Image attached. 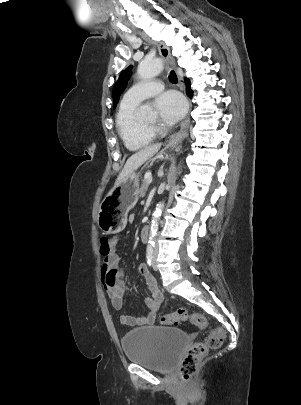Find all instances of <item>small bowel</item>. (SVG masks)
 <instances>
[{"label": "small bowel", "mask_w": 301, "mask_h": 405, "mask_svg": "<svg viewBox=\"0 0 301 405\" xmlns=\"http://www.w3.org/2000/svg\"><path fill=\"white\" fill-rule=\"evenodd\" d=\"M130 219L132 220L133 217ZM110 241L112 245L111 251L107 255L102 254L103 260L100 268L101 282L112 307L120 310L123 307L124 297L127 292V287L124 283L125 272L120 269L121 257L116 249L117 238L113 237ZM139 272L145 278L146 284L151 293L149 297L144 298V303L148 308V312L138 317L122 315L120 317L121 323L128 326L152 324L155 321L159 308L163 302V294L145 264H142L139 267Z\"/></svg>", "instance_id": "c3829d8e"}]
</instances>
